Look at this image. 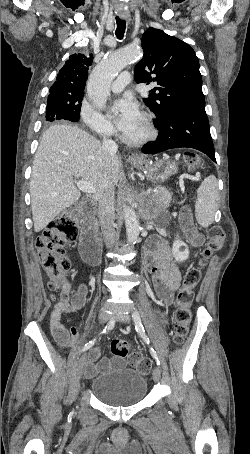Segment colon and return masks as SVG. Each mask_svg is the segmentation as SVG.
Listing matches in <instances>:
<instances>
[{
    "mask_svg": "<svg viewBox=\"0 0 250 454\" xmlns=\"http://www.w3.org/2000/svg\"><path fill=\"white\" fill-rule=\"evenodd\" d=\"M185 160L191 168L200 166V158L194 152H186ZM78 215L74 210H66L49 223L44 233L36 240V248L42 267L49 278L48 286L60 291L66 298L69 295V283L66 275L70 268V260L65 256L64 246L73 242L78 236ZM225 241V231L220 226L211 227L207 233V241L201 253L200 267L218 250ZM201 277L199 268L190 269L184 276L181 287L175 296L173 315V341L181 344L189 332L192 320L191 305L194 289ZM111 352L118 357H126L129 363L141 373L151 370V361L139 353L131 352L130 346L123 340L115 339L111 343Z\"/></svg>",
    "mask_w": 250,
    "mask_h": 454,
    "instance_id": "5ec220e1",
    "label": "colon"
}]
</instances>
